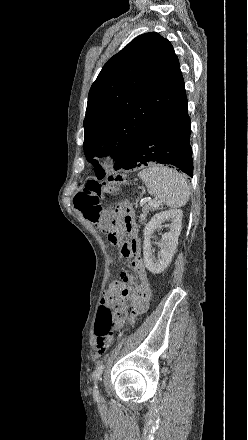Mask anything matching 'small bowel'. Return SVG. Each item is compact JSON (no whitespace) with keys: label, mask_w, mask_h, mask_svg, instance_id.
Wrapping results in <instances>:
<instances>
[{"label":"small bowel","mask_w":248,"mask_h":440,"mask_svg":"<svg viewBox=\"0 0 248 440\" xmlns=\"http://www.w3.org/2000/svg\"><path fill=\"white\" fill-rule=\"evenodd\" d=\"M119 238L125 233L129 240L120 244V253L123 257L131 258L132 273L123 272L120 275L121 280H111L110 287L101 298V304L111 307L115 310L113 328L129 331L134 327L135 318L147 311L151 298V287L149 278L146 274L143 259L141 257V242L139 239V230L136 226L133 213L128 203H123L119 215L116 218L115 230ZM112 266H117V261H112ZM131 301L132 307L129 310L128 305Z\"/></svg>","instance_id":"1"}]
</instances>
